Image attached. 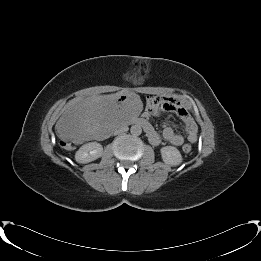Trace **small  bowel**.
Instances as JSON below:
<instances>
[{
  "label": "small bowel",
  "mask_w": 261,
  "mask_h": 261,
  "mask_svg": "<svg viewBox=\"0 0 261 261\" xmlns=\"http://www.w3.org/2000/svg\"><path fill=\"white\" fill-rule=\"evenodd\" d=\"M150 109L149 113L152 115H160L161 112H170L177 115L184 123L186 128V135L177 133L172 127H166L162 131L164 140L174 146H180L184 143L185 137L190 143H194L198 138L197 124L192 118L187 108L179 101L172 97L153 95L149 98ZM149 140L153 145L160 143V135L153 129L148 135Z\"/></svg>",
  "instance_id": "obj_1"
}]
</instances>
